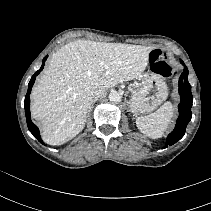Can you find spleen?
<instances>
[{"mask_svg":"<svg viewBox=\"0 0 211 211\" xmlns=\"http://www.w3.org/2000/svg\"><path fill=\"white\" fill-rule=\"evenodd\" d=\"M173 112L172 103L166 102L154 113L137 117L136 125L146 136L153 139L161 138L171 122Z\"/></svg>","mask_w":211,"mask_h":211,"instance_id":"spleen-1","label":"spleen"}]
</instances>
